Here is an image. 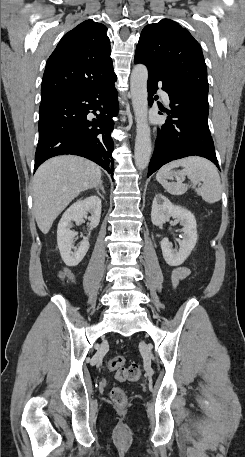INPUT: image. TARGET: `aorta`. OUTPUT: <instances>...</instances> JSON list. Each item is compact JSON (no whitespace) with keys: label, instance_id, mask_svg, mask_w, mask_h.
<instances>
[{"label":"aorta","instance_id":"aorta-1","mask_svg":"<svg viewBox=\"0 0 245 457\" xmlns=\"http://www.w3.org/2000/svg\"><path fill=\"white\" fill-rule=\"evenodd\" d=\"M148 70L143 64H137L130 77L132 105L136 119L135 165L139 170L145 169L150 161L152 144L148 115Z\"/></svg>","mask_w":245,"mask_h":457}]
</instances>
